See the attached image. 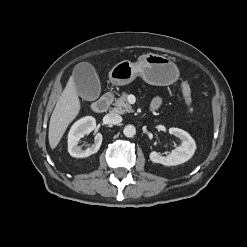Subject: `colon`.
Returning <instances> with one entry per match:
<instances>
[{"label":"colon","mask_w":247,"mask_h":247,"mask_svg":"<svg viewBox=\"0 0 247 247\" xmlns=\"http://www.w3.org/2000/svg\"><path fill=\"white\" fill-rule=\"evenodd\" d=\"M181 90L183 93L184 100L188 106L191 105L192 98H191V88L186 81H183L181 84Z\"/></svg>","instance_id":"1"}]
</instances>
